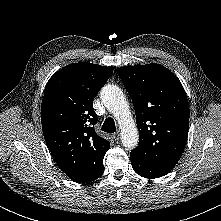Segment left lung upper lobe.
<instances>
[{
    "label": "left lung upper lobe",
    "instance_id": "5c2ea615",
    "mask_svg": "<svg viewBox=\"0 0 221 221\" xmlns=\"http://www.w3.org/2000/svg\"><path fill=\"white\" fill-rule=\"evenodd\" d=\"M117 73L132 98L139 130V144L130 154L175 166L189 127V104L181 82L156 63L125 66Z\"/></svg>",
    "mask_w": 221,
    "mask_h": 221
}]
</instances>
